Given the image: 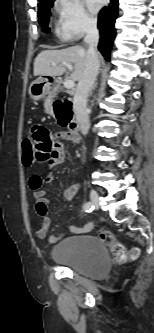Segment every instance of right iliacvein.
Returning a JSON list of instances; mask_svg holds the SVG:
<instances>
[{"label":"right iliac vein","instance_id":"right-iliac-vein-1","mask_svg":"<svg viewBox=\"0 0 154 333\" xmlns=\"http://www.w3.org/2000/svg\"><path fill=\"white\" fill-rule=\"evenodd\" d=\"M90 199L94 207L98 208L99 207V195L96 190L91 189L90 191Z\"/></svg>","mask_w":154,"mask_h":333}]
</instances>
